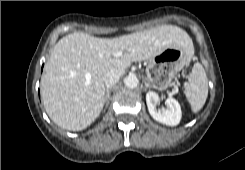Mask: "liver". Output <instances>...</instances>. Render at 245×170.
I'll return each instance as SVG.
<instances>
[{
    "mask_svg": "<svg viewBox=\"0 0 245 170\" xmlns=\"http://www.w3.org/2000/svg\"><path fill=\"white\" fill-rule=\"evenodd\" d=\"M168 48L194 47L183 29L162 25L112 39L75 32L54 46L41 80V95L50 119L59 127L80 131L100 115L106 101L104 76L124 71L134 61L148 60ZM122 55L116 57L115 54Z\"/></svg>",
    "mask_w": 245,
    "mask_h": 170,
    "instance_id": "6515ba94",
    "label": "liver"
}]
</instances>
